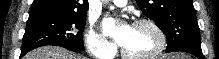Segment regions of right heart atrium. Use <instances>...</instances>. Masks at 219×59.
Instances as JSON below:
<instances>
[{"mask_svg": "<svg viewBox=\"0 0 219 59\" xmlns=\"http://www.w3.org/2000/svg\"><path fill=\"white\" fill-rule=\"evenodd\" d=\"M85 45L88 53L97 59H107L113 55L114 46L105 36L90 26L85 36Z\"/></svg>", "mask_w": 219, "mask_h": 59, "instance_id": "1", "label": "right heart atrium"}]
</instances>
